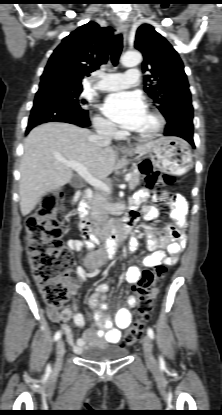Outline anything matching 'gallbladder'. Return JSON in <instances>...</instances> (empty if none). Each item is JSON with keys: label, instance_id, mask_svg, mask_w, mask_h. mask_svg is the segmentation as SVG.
Masks as SVG:
<instances>
[{"label": "gallbladder", "instance_id": "1", "mask_svg": "<svg viewBox=\"0 0 222 415\" xmlns=\"http://www.w3.org/2000/svg\"><path fill=\"white\" fill-rule=\"evenodd\" d=\"M70 185H71L72 187H75V188L79 187V186L81 185V180H80V178H79V177H73V178L70 180Z\"/></svg>", "mask_w": 222, "mask_h": 415}]
</instances>
